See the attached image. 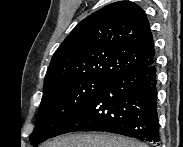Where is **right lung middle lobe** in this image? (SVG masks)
Here are the masks:
<instances>
[{
  "label": "right lung middle lobe",
  "mask_w": 183,
  "mask_h": 147,
  "mask_svg": "<svg viewBox=\"0 0 183 147\" xmlns=\"http://www.w3.org/2000/svg\"><path fill=\"white\" fill-rule=\"evenodd\" d=\"M109 81L84 78L44 88L35 129L30 135L32 146L53 137L61 124L85 104Z\"/></svg>",
  "instance_id": "dd1d6c3e"
}]
</instances>
